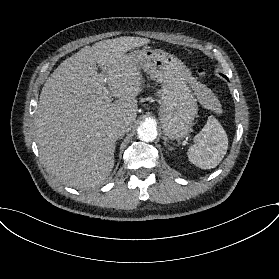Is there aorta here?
<instances>
[{
    "instance_id": "obj_1",
    "label": "aorta",
    "mask_w": 279,
    "mask_h": 279,
    "mask_svg": "<svg viewBox=\"0 0 279 279\" xmlns=\"http://www.w3.org/2000/svg\"><path fill=\"white\" fill-rule=\"evenodd\" d=\"M137 134L140 140L144 142H151L157 137V127L152 122H143L137 129Z\"/></svg>"
}]
</instances>
